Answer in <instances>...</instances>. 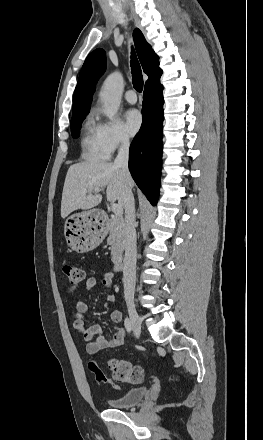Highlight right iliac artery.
Masks as SVG:
<instances>
[{
    "label": "right iliac artery",
    "mask_w": 263,
    "mask_h": 440,
    "mask_svg": "<svg viewBox=\"0 0 263 440\" xmlns=\"http://www.w3.org/2000/svg\"><path fill=\"white\" fill-rule=\"evenodd\" d=\"M124 325L126 327V330L130 333L132 330V324H131V321L128 317L125 318Z\"/></svg>",
    "instance_id": "obj_1"
}]
</instances>
